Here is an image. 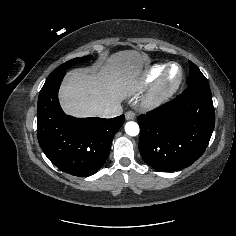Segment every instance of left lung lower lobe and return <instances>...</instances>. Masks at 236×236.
Masks as SVG:
<instances>
[{"mask_svg": "<svg viewBox=\"0 0 236 236\" xmlns=\"http://www.w3.org/2000/svg\"><path fill=\"white\" fill-rule=\"evenodd\" d=\"M139 151L156 170L171 172L190 166L205 151L215 113L208 84L187 87L177 98L138 117Z\"/></svg>", "mask_w": 236, "mask_h": 236, "instance_id": "0a47b994", "label": "left lung lower lobe"}]
</instances>
